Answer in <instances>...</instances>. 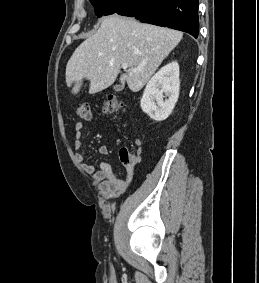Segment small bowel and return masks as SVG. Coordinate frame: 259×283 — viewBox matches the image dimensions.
<instances>
[{
    "label": "small bowel",
    "mask_w": 259,
    "mask_h": 283,
    "mask_svg": "<svg viewBox=\"0 0 259 283\" xmlns=\"http://www.w3.org/2000/svg\"><path fill=\"white\" fill-rule=\"evenodd\" d=\"M83 124L80 122L75 123V141L74 147L76 150H80L83 147ZM99 153L103 156L109 155V149L107 146H101L99 148ZM75 159L79 167L87 174H89L93 181L96 183L99 193L105 198H113L123 194L133 175L134 164L125 165L126 168V178H120L113 170L109 163L101 162L99 168L96 169L95 166L89 164L85 161V157L81 152H77Z\"/></svg>",
    "instance_id": "small-bowel-1"
}]
</instances>
